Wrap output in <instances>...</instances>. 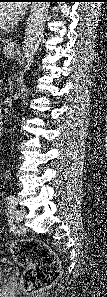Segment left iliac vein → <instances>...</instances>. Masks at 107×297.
<instances>
[{"instance_id":"1","label":"left iliac vein","mask_w":107,"mask_h":297,"mask_svg":"<svg viewBox=\"0 0 107 297\" xmlns=\"http://www.w3.org/2000/svg\"><path fill=\"white\" fill-rule=\"evenodd\" d=\"M13 217H14L15 223L19 224L20 222L23 221L25 217V211L22 208H19L14 211Z\"/></svg>"}]
</instances>
